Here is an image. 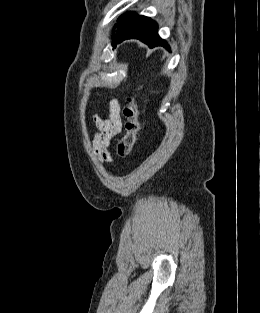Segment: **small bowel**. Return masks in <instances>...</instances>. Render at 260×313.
Segmentation results:
<instances>
[{
	"label": "small bowel",
	"mask_w": 260,
	"mask_h": 313,
	"mask_svg": "<svg viewBox=\"0 0 260 313\" xmlns=\"http://www.w3.org/2000/svg\"><path fill=\"white\" fill-rule=\"evenodd\" d=\"M121 106L118 100L112 99L109 102V113L106 119L100 116L94 117L97 131L93 139L94 151L101 161H111V153L109 151L110 141L118 135L122 130Z\"/></svg>",
	"instance_id": "1"
}]
</instances>
